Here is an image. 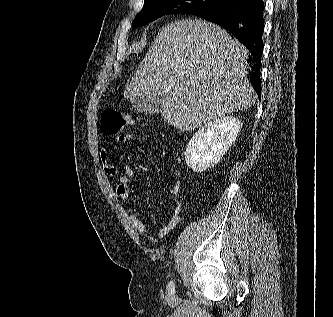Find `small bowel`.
<instances>
[{
	"label": "small bowel",
	"instance_id": "1",
	"mask_svg": "<svg viewBox=\"0 0 333 317\" xmlns=\"http://www.w3.org/2000/svg\"><path fill=\"white\" fill-rule=\"evenodd\" d=\"M120 142H126L131 139V134H122L118 137ZM101 163L103 170L108 175H116L118 168L115 163L109 158L105 149L100 153ZM134 176L133 167L129 164L123 166L122 174L118 178L116 194L117 197L123 201L128 202L131 197L130 180ZM180 188L179 180H176L174 185L169 189L171 196V205L168 211L171 213V218L168 223L157 231L150 230L147 225L135 214L131 207L126 208V214L134 226L135 230L144 235L150 242L156 243L168 235L179 222V214L181 210V203L178 199V193Z\"/></svg>",
	"mask_w": 333,
	"mask_h": 317
}]
</instances>
